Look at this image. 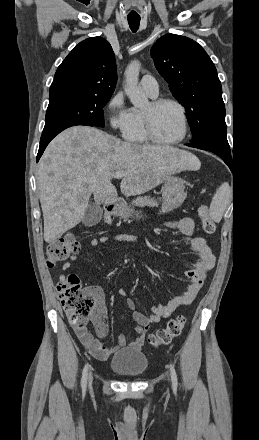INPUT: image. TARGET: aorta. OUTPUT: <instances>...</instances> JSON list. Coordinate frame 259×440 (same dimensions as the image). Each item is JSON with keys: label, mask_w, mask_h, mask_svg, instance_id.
I'll return each mask as SVG.
<instances>
[{"label": "aorta", "mask_w": 259, "mask_h": 440, "mask_svg": "<svg viewBox=\"0 0 259 440\" xmlns=\"http://www.w3.org/2000/svg\"><path fill=\"white\" fill-rule=\"evenodd\" d=\"M140 67L141 64L137 60L129 63L124 73L126 80L124 90L131 103L135 107L144 108L148 105L149 101L147 96L138 85Z\"/></svg>", "instance_id": "obj_1"}]
</instances>
